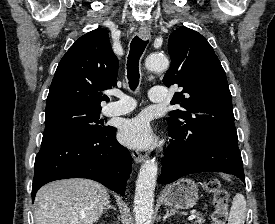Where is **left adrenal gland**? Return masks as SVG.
<instances>
[{
	"mask_svg": "<svg viewBox=\"0 0 275 224\" xmlns=\"http://www.w3.org/2000/svg\"><path fill=\"white\" fill-rule=\"evenodd\" d=\"M171 215H173L172 213L169 212L168 209H166V214L165 216L163 217V221H165L168 217H170Z\"/></svg>",
	"mask_w": 275,
	"mask_h": 224,
	"instance_id": "obj_1",
	"label": "left adrenal gland"
}]
</instances>
